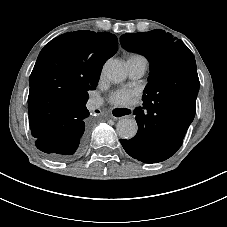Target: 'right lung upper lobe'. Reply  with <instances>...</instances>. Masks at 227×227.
<instances>
[{
  "mask_svg": "<svg viewBox=\"0 0 227 227\" xmlns=\"http://www.w3.org/2000/svg\"><path fill=\"white\" fill-rule=\"evenodd\" d=\"M117 48L114 34L81 30L62 34L42 49L29 79V123L35 138L61 126L71 103L88 100L103 64Z\"/></svg>",
  "mask_w": 227,
  "mask_h": 227,
  "instance_id": "right-lung-upper-lobe-1",
  "label": "right lung upper lobe"
}]
</instances>
